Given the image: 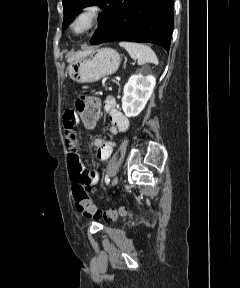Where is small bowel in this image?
<instances>
[{
	"label": "small bowel",
	"mask_w": 240,
	"mask_h": 288,
	"mask_svg": "<svg viewBox=\"0 0 240 288\" xmlns=\"http://www.w3.org/2000/svg\"><path fill=\"white\" fill-rule=\"evenodd\" d=\"M103 108L109 120L108 137H113L128 130L129 119L118 110L114 96H106ZM79 122V117L74 110H67L63 114L69 176L74 185H81L87 190L98 183L99 173L96 170L86 169L81 162L77 133ZM93 144L97 149V157L102 161L107 160L111 156L115 147L113 141L104 138H96Z\"/></svg>",
	"instance_id": "small-bowel-1"
}]
</instances>
